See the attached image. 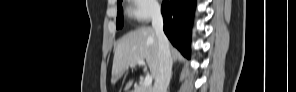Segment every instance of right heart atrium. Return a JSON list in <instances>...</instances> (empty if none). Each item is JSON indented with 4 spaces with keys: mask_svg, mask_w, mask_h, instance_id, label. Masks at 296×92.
Returning <instances> with one entry per match:
<instances>
[{
    "mask_svg": "<svg viewBox=\"0 0 296 92\" xmlns=\"http://www.w3.org/2000/svg\"><path fill=\"white\" fill-rule=\"evenodd\" d=\"M159 4L154 0L130 1L127 14L138 23H146L159 14Z\"/></svg>",
    "mask_w": 296,
    "mask_h": 92,
    "instance_id": "1",
    "label": "right heart atrium"
}]
</instances>
